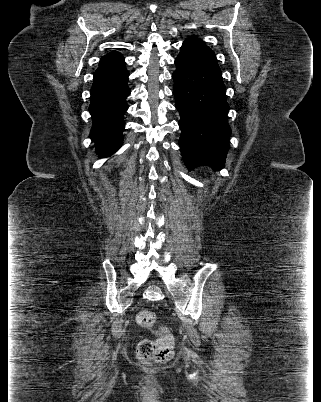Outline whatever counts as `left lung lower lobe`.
Wrapping results in <instances>:
<instances>
[{"label": "left lung lower lobe", "instance_id": "obj_1", "mask_svg": "<svg viewBox=\"0 0 321 402\" xmlns=\"http://www.w3.org/2000/svg\"><path fill=\"white\" fill-rule=\"evenodd\" d=\"M173 94L180 113L179 146L189 170L224 168L231 129L226 88L215 53L199 38H187L175 59Z\"/></svg>", "mask_w": 321, "mask_h": 402}]
</instances>
